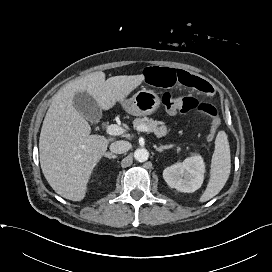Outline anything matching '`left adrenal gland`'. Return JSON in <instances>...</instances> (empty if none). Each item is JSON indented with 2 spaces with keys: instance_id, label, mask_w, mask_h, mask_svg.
Returning <instances> with one entry per match:
<instances>
[{
  "instance_id": "a2214340",
  "label": "left adrenal gland",
  "mask_w": 272,
  "mask_h": 272,
  "mask_svg": "<svg viewBox=\"0 0 272 272\" xmlns=\"http://www.w3.org/2000/svg\"><path fill=\"white\" fill-rule=\"evenodd\" d=\"M172 147H173V145H166V146H160V147L155 146V149L158 152H162L163 150H166V149H169V148H172Z\"/></svg>"
}]
</instances>
